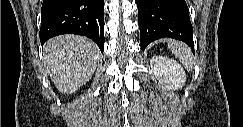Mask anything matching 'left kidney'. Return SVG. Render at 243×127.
<instances>
[{"label":"left kidney","mask_w":243,"mask_h":127,"mask_svg":"<svg viewBox=\"0 0 243 127\" xmlns=\"http://www.w3.org/2000/svg\"><path fill=\"white\" fill-rule=\"evenodd\" d=\"M150 65L155 77L167 88L178 90L185 84L186 74L178 62L163 56H153Z\"/></svg>","instance_id":"5707ae66"}]
</instances>
